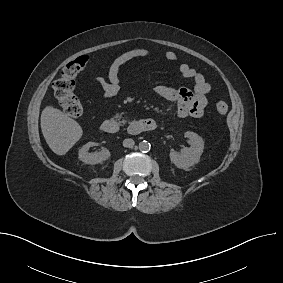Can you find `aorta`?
<instances>
[{"label": "aorta", "instance_id": "1", "mask_svg": "<svg viewBox=\"0 0 283 283\" xmlns=\"http://www.w3.org/2000/svg\"><path fill=\"white\" fill-rule=\"evenodd\" d=\"M151 145L148 141L144 140L139 143V150L141 152H148L150 151Z\"/></svg>", "mask_w": 283, "mask_h": 283}]
</instances>
